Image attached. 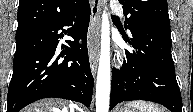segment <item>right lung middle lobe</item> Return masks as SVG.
<instances>
[{
    "label": "right lung middle lobe",
    "mask_w": 193,
    "mask_h": 112,
    "mask_svg": "<svg viewBox=\"0 0 193 112\" xmlns=\"http://www.w3.org/2000/svg\"><path fill=\"white\" fill-rule=\"evenodd\" d=\"M35 30L32 31H22V32H16V39L22 38L24 36L29 35L30 33L34 32Z\"/></svg>",
    "instance_id": "1"
}]
</instances>
